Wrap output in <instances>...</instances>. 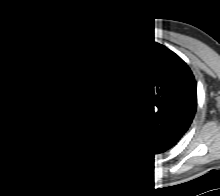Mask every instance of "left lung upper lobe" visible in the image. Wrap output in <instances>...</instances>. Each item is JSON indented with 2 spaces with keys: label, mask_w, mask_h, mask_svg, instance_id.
<instances>
[{
  "label": "left lung upper lobe",
  "mask_w": 220,
  "mask_h": 196,
  "mask_svg": "<svg viewBox=\"0 0 220 196\" xmlns=\"http://www.w3.org/2000/svg\"><path fill=\"white\" fill-rule=\"evenodd\" d=\"M146 90L141 133L170 148L187 131L197 96L194 77L175 53L140 43L130 48Z\"/></svg>",
  "instance_id": "1"
}]
</instances>
